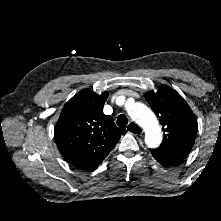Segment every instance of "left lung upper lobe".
Here are the masks:
<instances>
[{
  "mask_svg": "<svg viewBox=\"0 0 221 221\" xmlns=\"http://www.w3.org/2000/svg\"><path fill=\"white\" fill-rule=\"evenodd\" d=\"M145 99L159 118L164 139L159 148L168 149L193 145L197 134V120L183 97L167 85L157 92H147Z\"/></svg>",
  "mask_w": 221,
  "mask_h": 221,
  "instance_id": "obj_1",
  "label": "left lung upper lobe"
}]
</instances>
